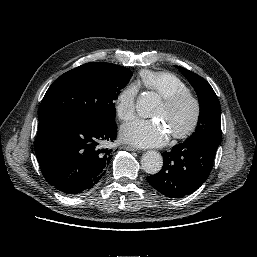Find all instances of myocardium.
<instances>
[{
    "mask_svg": "<svg viewBox=\"0 0 257 257\" xmlns=\"http://www.w3.org/2000/svg\"><path fill=\"white\" fill-rule=\"evenodd\" d=\"M184 101H190L193 104L194 113L191 121L183 130L172 134V137L174 139H184L188 137L196 129L202 113L201 102L200 99L190 91H183L162 98L163 105L168 109H173L181 103H183Z\"/></svg>",
    "mask_w": 257,
    "mask_h": 257,
    "instance_id": "f54148a6",
    "label": "myocardium"
}]
</instances>
